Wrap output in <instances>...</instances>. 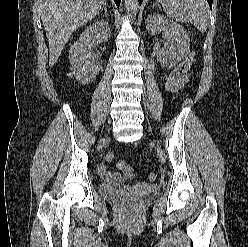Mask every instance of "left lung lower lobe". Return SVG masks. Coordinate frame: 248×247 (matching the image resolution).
Instances as JSON below:
<instances>
[{
  "label": "left lung lower lobe",
  "mask_w": 248,
  "mask_h": 247,
  "mask_svg": "<svg viewBox=\"0 0 248 247\" xmlns=\"http://www.w3.org/2000/svg\"><path fill=\"white\" fill-rule=\"evenodd\" d=\"M143 0H139V4L141 5ZM209 3L210 8H212V0H207Z\"/></svg>",
  "instance_id": "1"
}]
</instances>
